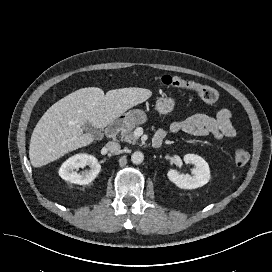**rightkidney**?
Instances as JSON below:
<instances>
[{
  "label": "right kidney",
  "mask_w": 272,
  "mask_h": 272,
  "mask_svg": "<svg viewBox=\"0 0 272 272\" xmlns=\"http://www.w3.org/2000/svg\"><path fill=\"white\" fill-rule=\"evenodd\" d=\"M89 166L90 170L77 173L75 170ZM101 165L96 157L88 154H76L66 160L59 169V175L65 181L86 185L91 183L99 174Z\"/></svg>",
  "instance_id": "right-kidney-1"
}]
</instances>
